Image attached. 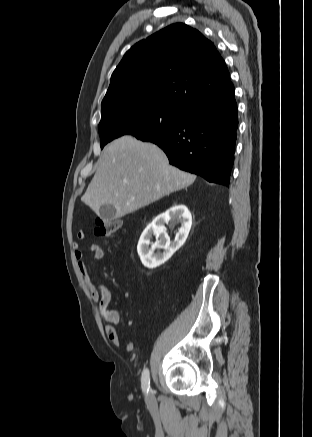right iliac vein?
<instances>
[{
    "mask_svg": "<svg viewBox=\"0 0 312 437\" xmlns=\"http://www.w3.org/2000/svg\"><path fill=\"white\" fill-rule=\"evenodd\" d=\"M147 401L150 403L152 401V396L149 394L147 395Z\"/></svg>",
    "mask_w": 312,
    "mask_h": 437,
    "instance_id": "obj_1",
    "label": "right iliac vein"
}]
</instances>
